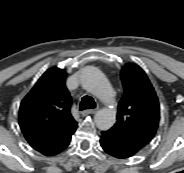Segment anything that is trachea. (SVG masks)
<instances>
[{
	"instance_id": "trachea-1",
	"label": "trachea",
	"mask_w": 184,
	"mask_h": 173,
	"mask_svg": "<svg viewBox=\"0 0 184 173\" xmlns=\"http://www.w3.org/2000/svg\"><path fill=\"white\" fill-rule=\"evenodd\" d=\"M96 107V103L94 99L91 96H84L82 97L79 105V110H85V109H94Z\"/></svg>"
}]
</instances>
